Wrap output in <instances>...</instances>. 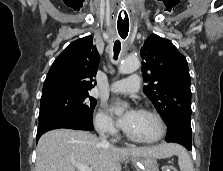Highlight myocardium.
<instances>
[{"label": "myocardium", "instance_id": "obj_1", "mask_svg": "<svg viewBox=\"0 0 223 171\" xmlns=\"http://www.w3.org/2000/svg\"><path fill=\"white\" fill-rule=\"evenodd\" d=\"M138 112L146 114V115H150L156 120L158 127H159L158 135L153 139L141 140V139H137V138L131 136L130 134H128L127 132H125L126 138L134 143L144 144V145L155 144V143L159 142L160 140H162V138L166 134V124H165V121L162 118V116L158 112H156L152 109H148V108H141L138 110Z\"/></svg>", "mask_w": 223, "mask_h": 171}]
</instances>
